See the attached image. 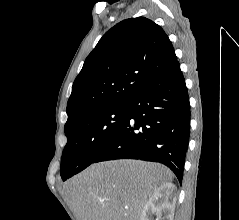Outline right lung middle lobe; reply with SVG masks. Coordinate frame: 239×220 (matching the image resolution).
<instances>
[{
    "label": "right lung middle lobe",
    "instance_id": "1",
    "mask_svg": "<svg viewBox=\"0 0 239 220\" xmlns=\"http://www.w3.org/2000/svg\"><path fill=\"white\" fill-rule=\"evenodd\" d=\"M127 117V103L90 112L65 127L67 144L62 153L60 175L63 180L94 162Z\"/></svg>",
    "mask_w": 239,
    "mask_h": 220
}]
</instances>
